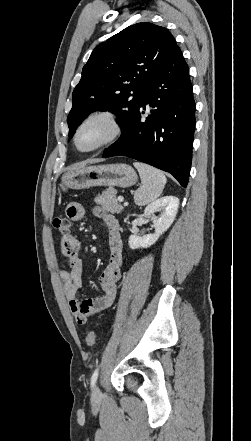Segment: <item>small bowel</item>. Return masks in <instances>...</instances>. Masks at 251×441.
<instances>
[{
	"mask_svg": "<svg viewBox=\"0 0 251 441\" xmlns=\"http://www.w3.org/2000/svg\"><path fill=\"white\" fill-rule=\"evenodd\" d=\"M96 214L103 220L109 232L110 259L109 264L99 278L102 295L96 298L80 301L78 290L83 281V261L80 257L81 243L70 235L61 240V250L64 257V267L59 269L63 291L73 317L80 325H85L88 318L102 313L113 304L117 285L121 278L123 265V242L118 220L110 213L98 210ZM67 215L73 221H79L86 215V209L77 202L67 208Z\"/></svg>",
	"mask_w": 251,
	"mask_h": 441,
	"instance_id": "obj_1",
	"label": "small bowel"
}]
</instances>
